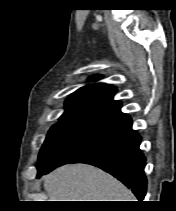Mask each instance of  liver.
Returning <instances> with one entry per match:
<instances>
[{
    "label": "liver",
    "mask_w": 176,
    "mask_h": 211,
    "mask_svg": "<svg viewBox=\"0 0 176 211\" xmlns=\"http://www.w3.org/2000/svg\"><path fill=\"white\" fill-rule=\"evenodd\" d=\"M50 201H135L121 182L86 164L65 165L44 177Z\"/></svg>",
    "instance_id": "liver-1"
}]
</instances>
